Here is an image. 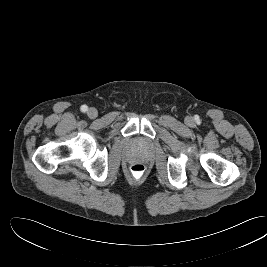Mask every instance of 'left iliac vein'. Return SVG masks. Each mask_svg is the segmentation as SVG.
Listing matches in <instances>:
<instances>
[{
	"mask_svg": "<svg viewBox=\"0 0 267 267\" xmlns=\"http://www.w3.org/2000/svg\"><path fill=\"white\" fill-rule=\"evenodd\" d=\"M186 123H187L188 125H192V124L194 123L193 118H192V117H188V118L186 119Z\"/></svg>",
	"mask_w": 267,
	"mask_h": 267,
	"instance_id": "4c4485c4",
	"label": "left iliac vein"
}]
</instances>
